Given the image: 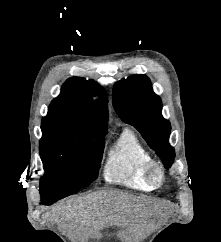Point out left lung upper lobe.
<instances>
[{
	"label": "left lung upper lobe",
	"instance_id": "left-lung-upper-lobe-1",
	"mask_svg": "<svg viewBox=\"0 0 221 242\" xmlns=\"http://www.w3.org/2000/svg\"><path fill=\"white\" fill-rule=\"evenodd\" d=\"M113 106L119 117L133 125L148 145L170 168L175 158L174 148L169 144L170 122L161 114V99L153 90L145 75H132L114 85Z\"/></svg>",
	"mask_w": 221,
	"mask_h": 242
}]
</instances>
